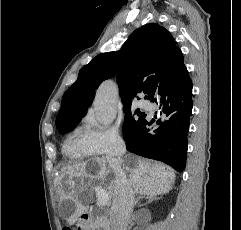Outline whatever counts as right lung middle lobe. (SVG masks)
I'll return each mask as SVG.
<instances>
[{
    "mask_svg": "<svg viewBox=\"0 0 241 230\" xmlns=\"http://www.w3.org/2000/svg\"><path fill=\"white\" fill-rule=\"evenodd\" d=\"M130 106L124 107L127 114L125 115V122H124V139L126 140L132 128L136 127L145 117V113L139 112V109L135 111V116H132L130 112H128V109ZM74 127L60 131L61 133H68L70 130H72Z\"/></svg>",
    "mask_w": 241,
    "mask_h": 230,
    "instance_id": "dd1d6c3e",
    "label": "right lung middle lobe"
}]
</instances>
